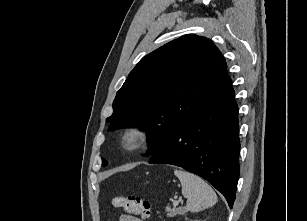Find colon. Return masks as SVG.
Listing matches in <instances>:
<instances>
[{
  "mask_svg": "<svg viewBox=\"0 0 307 221\" xmlns=\"http://www.w3.org/2000/svg\"><path fill=\"white\" fill-rule=\"evenodd\" d=\"M114 207L124 210L130 215L150 218L152 215L151 204L148 200L132 195H118L111 198Z\"/></svg>",
  "mask_w": 307,
  "mask_h": 221,
  "instance_id": "obj_1",
  "label": "colon"
}]
</instances>
